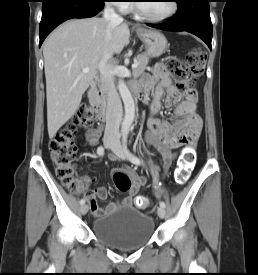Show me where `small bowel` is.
<instances>
[{
  "instance_id": "c3829d8e",
  "label": "small bowel",
  "mask_w": 258,
  "mask_h": 275,
  "mask_svg": "<svg viewBox=\"0 0 258 275\" xmlns=\"http://www.w3.org/2000/svg\"><path fill=\"white\" fill-rule=\"evenodd\" d=\"M134 86L140 88V97L144 100H147L149 92L153 90L145 139L158 150L165 169H168L176 158V153L173 150L182 146L192 148L201 133L202 120L196 111L197 95L191 91L186 94L185 100H181L173 78L165 66L160 63L153 67L151 76L143 77L138 84H134L132 87ZM163 105L165 107L176 106L173 120L162 121L156 117ZM101 132L100 127L89 130L86 133L88 143L90 145L97 144ZM109 158L111 161L117 160L113 154ZM120 171L125 172L131 179L129 195L120 201L109 203L105 209H101L98 200L107 198V189L98 187L93 194L87 195L90 210L95 217L114 212L119 206L130 207L140 188L147 183L145 176H139L133 170L120 168Z\"/></svg>"
}]
</instances>
